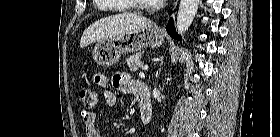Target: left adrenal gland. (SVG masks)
I'll return each mask as SVG.
<instances>
[{
	"instance_id": "a2214340",
	"label": "left adrenal gland",
	"mask_w": 280,
	"mask_h": 137,
	"mask_svg": "<svg viewBox=\"0 0 280 137\" xmlns=\"http://www.w3.org/2000/svg\"><path fill=\"white\" fill-rule=\"evenodd\" d=\"M161 66H162V63H161V65H160V67H161ZM158 71H159V73H160V71H161V68H159V69H158ZM158 71H157V74H158Z\"/></svg>"
}]
</instances>
